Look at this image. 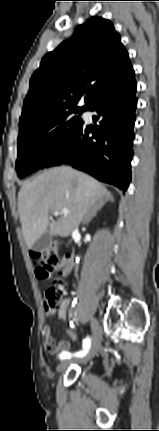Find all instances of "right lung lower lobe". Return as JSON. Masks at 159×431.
<instances>
[{
  "label": "right lung lower lobe",
  "mask_w": 159,
  "mask_h": 431,
  "mask_svg": "<svg viewBox=\"0 0 159 431\" xmlns=\"http://www.w3.org/2000/svg\"><path fill=\"white\" fill-rule=\"evenodd\" d=\"M134 77L96 101L95 127L84 123L49 159L46 167L69 164L100 181L127 190L131 181L133 127L137 107ZM89 134H92L89 137Z\"/></svg>",
  "instance_id": "1"
}]
</instances>
